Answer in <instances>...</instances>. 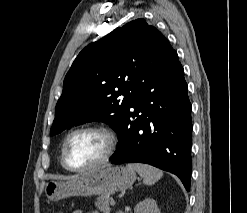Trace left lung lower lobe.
Segmentation results:
<instances>
[{
    "label": "left lung lower lobe",
    "instance_id": "obj_1",
    "mask_svg": "<svg viewBox=\"0 0 247 213\" xmlns=\"http://www.w3.org/2000/svg\"><path fill=\"white\" fill-rule=\"evenodd\" d=\"M112 164L147 163L177 175L190 191L191 103L177 53H169L138 88Z\"/></svg>",
    "mask_w": 247,
    "mask_h": 213
}]
</instances>
